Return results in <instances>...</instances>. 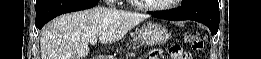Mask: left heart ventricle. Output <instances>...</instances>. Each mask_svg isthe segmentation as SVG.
Listing matches in <instances>:
<instances>
[{
  "label": "left heart ventricle",
  "instance_id": "left-heart-ventricle-1",
  "mask_svg": "<svg viewBox=\"0 0 261 59\" xmlns=\"http://www.w3.org/2000/svg\"><path fill=\"white\" fill-rule=\"evenodd\" d=\"M171 0H150L146 1V3L151 4V5H165L170 3Z\"/></svg>",
  "mask_w": 261,
  "mask_h": 59
}]
</instances>
